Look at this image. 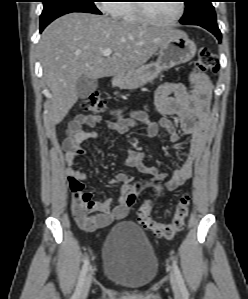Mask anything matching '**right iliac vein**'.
<instances>
[{
	"label": "right iliac vein",
	"instance_id": "obj_1",
	"mask_svg": "<svg viewBox=\"0 0 248 299\" xmlns=\"http://www.w3.org/2000/svg\"><path fill=\"white\" fill-rule=\"evenodd\" d=\"M91 275L92 273L90 272L85 280H84V283H83V286H82V289H81V299L84 298L88 292H89V289H90V286H91Z\"/></svg>",
	"mask_w": 248,
	"mask_h": 299
}]
</instances>
